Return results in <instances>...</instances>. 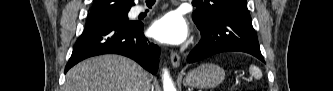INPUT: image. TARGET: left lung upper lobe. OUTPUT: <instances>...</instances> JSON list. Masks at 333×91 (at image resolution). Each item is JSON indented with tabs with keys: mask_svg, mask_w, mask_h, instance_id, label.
<instances>
[{
	"mask_svg": "<svg viewBox=\"0 0 333 91\" xmlns=\"http://www.w3.org/2000/svg\"><path fill=\"white\" fill-rule=\"evenodd\" d=\"M199 8L193 12L192 18L198 28L206 25L215 16L224 11L247 9L246 0H198Z\"/></svg>",
	"mask_w": 333,
	"mask_h": 91,
	"instance_id": "1",
	"label": "left lung upper lobe"
}]
</instances>
